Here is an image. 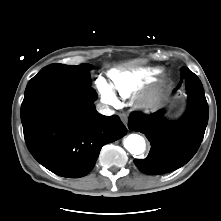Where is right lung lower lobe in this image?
I'll return each instance as SVG.
<instances>
[{
	"mask_svg": "<svg viewBox=\"0 0 221 221\" xmlns=\"http://www.w3.org/2000/svg\"><path fill=\"white\" fill-rule=\"evenodd\" d=\"M96 91L30 80L21 105L24 138L32 156L51 172L78 178L95 166L102 146L127 133L117 115L96 111Z\"/></svg>",
	"mask_w": 221,
	"mask_h": 221,
	"instance_id": "98d812e1",
	"label": "right lung lower lobe"
}]
</instances>
